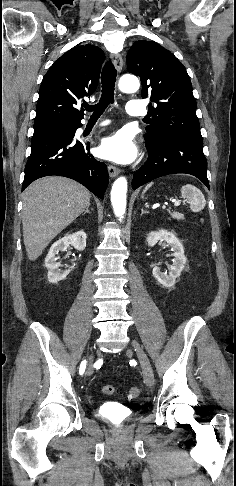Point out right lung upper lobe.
<instances>
[{"mask_svg": "<svg viewBox=\"0 0 236 486\" xmlns=\"http://www.w3.org/2000/svg\"><path fill=\"white\" fill-rule=\"evenodd\" d=\"M103 51L94 45L74 47L57 59L43 77L34 126L82 120L78 107L95 92Z\"/></svg>", "mask_w": 236, "mask_h": 486, "instance_id": "cb5924a9", "label": "right lung upper lobe"}]
</instances>
